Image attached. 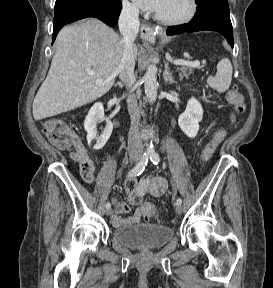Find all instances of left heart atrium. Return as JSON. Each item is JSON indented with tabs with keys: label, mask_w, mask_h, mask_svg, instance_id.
Segmentation results:
<instances>
[{
	"label": "left heart atrium",
	"mask_w": 273,
	"mask_h": 288,
	"mask_svg": "<svg viewBox=\"0 0 273 288\" xmlns=\"http://www.w3.org/2000/svg\"><path fill=\"white\" fill-rule=\"evenodd\" d=\"M135 4L142 10L157 12L164 0H134Z\"/></svg>",
	"instance_id": "1"
}]
</instances>
